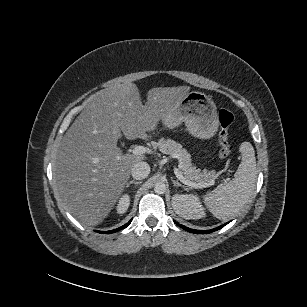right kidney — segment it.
<instances>
[{"mask_svg": "<svg viewBox=\"0 0 307 307\" xmlns=\"http://www.w3.org/2000/svg\"><path fill=\"white\" fill-rule=\"evenodd\" d=\"M131 199L129 193L122 194L115 206V212L117 215H123L128 211V208L130 207Z\"/></svg>", "mask_w": 307, "mask_h": 307, "instance_id": "1", "label": "right kidney"}]
</instances>
